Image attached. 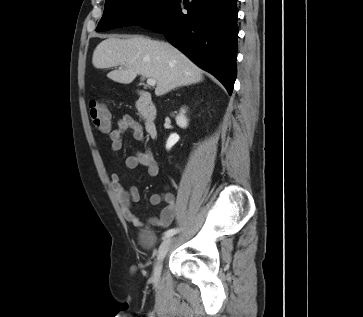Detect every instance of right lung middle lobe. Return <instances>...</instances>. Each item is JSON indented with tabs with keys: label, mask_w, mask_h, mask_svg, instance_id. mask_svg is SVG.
<instances>
[{
	"label": "right lung middle lobe",
	"mask_w": 363,
	"mask_h": 317,
	"mask_svg": "<svg viewBox=\"0 0 363 317\" xmlns=\"http://www.w3.org/2000/svg\"><path fill=\"white\" fill-rule=\"evenodd\" d=\"M176 0H106L96 31L144 25L165 13Z\"/></svg>",
	"instance_id": "1"
}]
</instances>
